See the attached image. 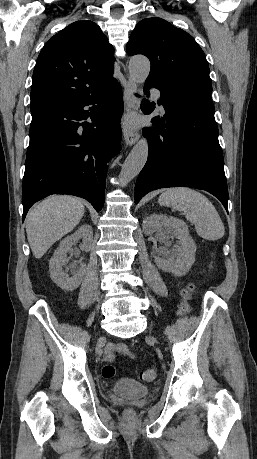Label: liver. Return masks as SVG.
<instances>
[{
	"instance_id": "1",
	"label": "liver",
	"mask_w": 257,
	"mask_h": 459,
	"mask_svg": "<svg viewBox=\"0 0 257 459\" xmlns=\"http://www.w3.org/2000/svg\"><path fill=\"white\" fill-rule=\"evenodd\" d=\"M85 212L71 196H52L36 205L26 219V233L35 258H41L64 235L71 232Z\"/></svg>"
}]
</instances>
